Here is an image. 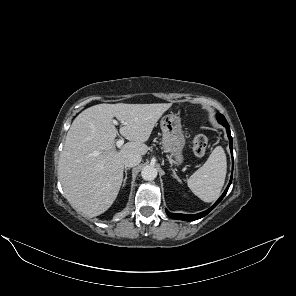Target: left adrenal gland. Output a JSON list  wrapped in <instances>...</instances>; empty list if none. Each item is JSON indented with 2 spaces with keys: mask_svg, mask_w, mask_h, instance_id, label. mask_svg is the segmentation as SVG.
<instances>
[{
  "mask_svg": "<svg viewBox=\"0 0 296 296\" xmlns=\"http://www.w3.org/2000/svg\"><path fill=\"white\" fill-rule=\"evenodd\" d=\"M173 171V177L176 178L179 182H181L179 176L176 174V172L174 170Z\"/></svg>",
  "mask_w": 296,
  "mask_h": 296,
  "instance_id": "obj_1",
  "label": "left adrenal gland"
}]
</instances>
